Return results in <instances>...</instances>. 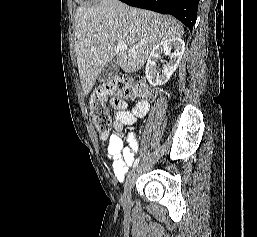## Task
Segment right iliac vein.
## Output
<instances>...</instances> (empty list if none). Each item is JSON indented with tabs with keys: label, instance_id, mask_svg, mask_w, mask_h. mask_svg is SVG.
I'll return each mask as SVG.
<instances>
[{
	"label": "right iliac vein",
	"instance_id": "right-iliac-vein-1",
	"mask_svg": "<svg viewBox=\"0 0 257 237\" xmlns=\"http://www.w3.org/2000/svg\"><path fill=\"white\" fill-rule=\"evenodd\" d=\"M138 167L134 168L128 175L124 185V192L121 198L123 205L127 206L131 202V190L134 186Z\"/></svg>",
	"mask_w": 257,
	"mask_h": 237
}]
</instances>
